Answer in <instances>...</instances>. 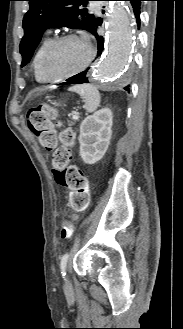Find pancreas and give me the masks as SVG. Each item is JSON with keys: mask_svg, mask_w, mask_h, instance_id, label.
<instances>
[{"mask_svg": "<svg viewBox=\"0 0 183 329\" xmlns=\"http://www.w3.org/2000/svg\"><path fill=\"white\" fill-rule=\"evenodd\" d=\"M69 125H73L74 123L73 122H68Z\"/></svg>", "mask_w": 183, "mask_h": 329, "instance_id": "pancreas-1", "label": "pancreas"}]
</instances>
